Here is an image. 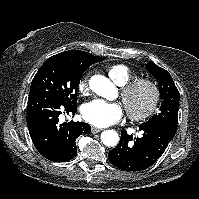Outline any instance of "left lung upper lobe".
Wrapping results in <instances>:
<instances>
[{
    "mask_svg": "<svg viewBox=\"0 0 199 199\" xmlns=\"http://www.w3.org/2000/svg\"><path fill=\"white\" fill-rule=\"evenodd\" d=\"M146 68L158 81L162 104L160 112L142 125L160 124L177 130L180 94L169 72L149 62Z\"/></svg>",
    "mask_w": 199,
    "mask_h": 199,
    "instance_id": "5c2ea615",
    "label": "left lung upper lobe"
}]
</instances>
